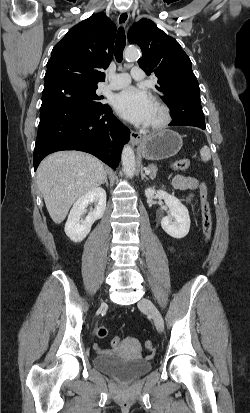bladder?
<instances>
[{
	"mask_svg": "<svg viewBox=\"0 0 250 413\" xmlns=\"http://www.w3.org/2000/svg\"><path fill=\"white\" fill-rule=\"evenodd\" d=\"M94 365L121 381H132L148 373L152 364L150 361L138 358H123L116 355H98L93 360Z\"/></svg>",
	"mask_w": 250,
	"mask_h": 413,
	"instance_id": "obj_1",
	"label": "bladder"
}]
</instances>
